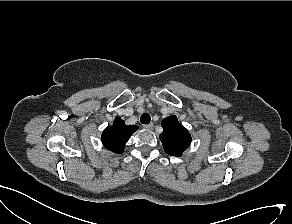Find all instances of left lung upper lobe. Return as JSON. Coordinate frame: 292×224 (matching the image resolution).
<instances>
[{
    "instance_id": "left-lung-upper-lobe-1",
    "label": "left lung upper lobe",
    "mask_w": 292,
    "mask_h": 224,
    "mask_svg": "<svg viewBox=\"0 0 292 224\" xmlns=\"http://www.w3.org/2000/svg\"><path fill=\"white\" fill-rule=\"evenodd\" d=\"M161 126L164 131L160 140L165 152L172 156H181L191 143L190 133L178 122L175 115L165 118Z\"/></svg>"
}]
</instances>
